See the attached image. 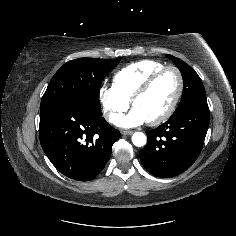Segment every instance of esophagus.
Listing matches in <instances>:
<instances>
[{"mask_svg":"<svg viewBox=\"0 0 236 236\" xmlns=\"http://www.w3.org/2000/svg\"><path fill=\"white\" fill-rule=\"evenodd\" d=\"M122 134H123V135H132V134H133V131H132V130H123V131H122Z\"/></svg>","mask_w":236,"mask_h":236,"instance_id":"1","label":"esophagus"}]
</instances>
